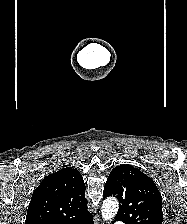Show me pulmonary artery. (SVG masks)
<instances>
[{
  "mask_svg": "<svg viewBox=\"0 0 187 224\" xmlns=\"http://www.w3.org/2000/svg\"><path fill=\"white\" fill-rule=\"evenodd\" d=\"M116 224H123L121 221H117Z\"/></svg>",
  "mask_w": 187,
  "mask_h": 224,
  "instance_id": "obj_1",
  "label": "pulmonary artery"
}]
</instances>
